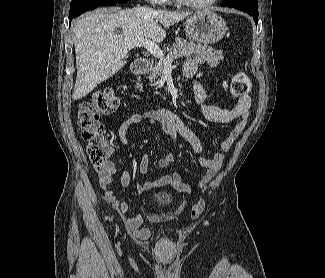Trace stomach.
Instances as JSON below:
<instances>
[{
	"instance_id": "obj_1",
	"label": "stomach",
	"mask_w": 325,
	"mask_h": 278,
	"mask_svg": "<svg viewBox=\"0 0 325 278\" xmlns=\"http://www.w3.org/2000/svg\"><path fill=\"white\" fill-rule=\"evenodd\" d=\"M227 27L222 17L210 10H199L186 21V35L200 44H214L220 41Z\"/></svg>"
}]
</instances>
